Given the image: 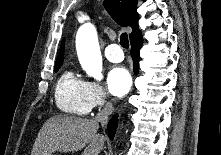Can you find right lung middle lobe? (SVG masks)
<instances>
[{
  "mask_svg": "<svg viewBox=\"0 0 221 155\" xmlns=\"http://www.w3.org/2000/svg\"><path fill=\"white\" fill-rule=\"evenodd\" d=\"M60 65L55 66V71H57L59 69Z\"/></svg>",
  "mask_w": 221,
  "mask_h": 155,
  "instance_id": "dd1d6c3e",
  "label": "right lung middle lobe"
}]
</instances>
